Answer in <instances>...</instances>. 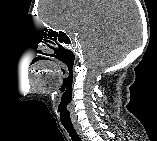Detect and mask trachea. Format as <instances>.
<instances>
[{
    "instance_id": "obj_1",
    "label": "trachea",
    "mask_w": 157,
    "mask_h": 141,
    "mask_svg": "<svg viewBox=\"0 0 157 141\" xmlns=\"http://www.w3.org/2000/svg\"><path fill=\"white\" fill-rule=\"evenodd\" d=\"M64 128L67 130L70 138L72 141H82L78 133L76 132L75 128L73 126H64Z\"/></svg>"
}]
</instances>
